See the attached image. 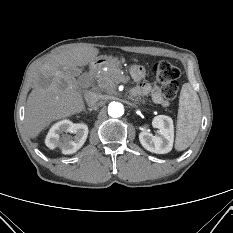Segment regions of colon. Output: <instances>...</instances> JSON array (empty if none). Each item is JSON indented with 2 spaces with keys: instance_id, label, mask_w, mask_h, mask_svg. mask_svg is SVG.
I'll return each instance as SVG.
<instances>
[{
  "instance_id": "colon-1",
  "label": "colon",
  "mask_w": 233,
  "mask_h": 233,
  "mask_svg": "<svg viewBox=\"0 0 233 233\" xmlns=\"http://www.w3.org/2000/svg\"><path fill=\"white\" fill-rule=\"evenodd\" d=\"M156 79L163 84L162 95L166 99H173L178 92L179 69L167 61H160L154 66Z\"/></svg>"
}]
</instances>
